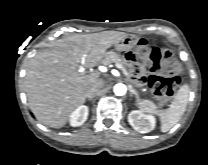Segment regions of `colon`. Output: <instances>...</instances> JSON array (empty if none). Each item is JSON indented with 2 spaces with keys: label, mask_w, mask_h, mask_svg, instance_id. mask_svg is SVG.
I'll list each match as a JSON object with an SVG mask.
<instances>
[{
  "label": "colon",
  "mask_w": 208,
  "mask_h": 165,
  "mask_svg": "<svg viewBox=\"0 0 208 165\" xmlns=\"http://www.w3.org/2000/svg\"><path fill=\"white\" fill-rule=\"evenodd\" d=\"M136 51L140 55L144 67L151 73L149 76L151 89L161 104L166 103L180 84V64L171 51L148 44L144 39L139 41ZM162 66L169 69L163 75L158 73Z\"/></svg>",
  "instance_id": "colon-1"
}]
</instances>
